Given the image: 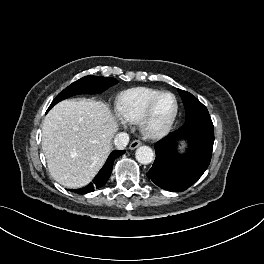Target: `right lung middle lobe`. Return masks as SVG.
I'll list each match as a JSON object with an SVG mask.
<instances>
[{
    "label": "right lung middle lobe",
    "mask_w": 264,
    "mask_h": 264,
    "mask_svg": "<svg viewBox=\"0 0 264 264\" xmlns=\"http://www.w3.org/2000/svg\"><path fill=\"white\" fill-rule=\"evenodd\" d=\"M118 81L111 77H99V76H85L60 92L56 98L52 101L50 108L63 99L77 95V94H98L102 93L109 87L115 85Z\"/></svg>",
    "instance_id": "obj_1"
}]
</instances>
